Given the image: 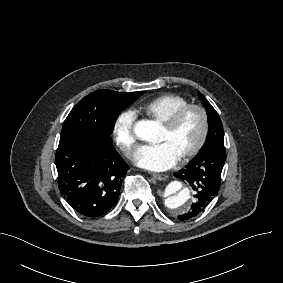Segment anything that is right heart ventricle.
I'll use <instances>...</instances> for the list:
<instances>
[{
	"label": "right heart ventricle",
	"mask_w": 283,
	"mask_h": 283,
	"mask_svg": "<svg viewBox=\"0 0 283 283\" xmlns=\"http://www.w3.org/2000/svg\"><path fill=\"white\" fill-rule=\"evenodd\" d=\"M188 104L189 101L185 97L170 93L140 101L135 104L133 110L136 115L162 123L170 113Z\"/></svg>",
	"instance_id": "1"
}]
</instances>
